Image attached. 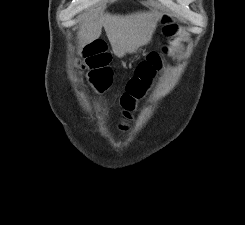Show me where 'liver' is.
<instances>
[{
  "mask_svg": "<svg viewBox=\"0 0 245 225\" xmlns=\"http://www.w3.org/2000/svg\"><path fill=\"white\" fill-rule=\"evenodd\" d=\"M156 21V13L153 11L126 16L92 14L80 26L79 43L87 44L98 39L104 27L114 54L123 57L150 42Z\"/></svg>",
  "mask_w": 245,
  "mask_h": 225,
  "instance_id": "1",
  "label": "liver"
}]
</instances>
